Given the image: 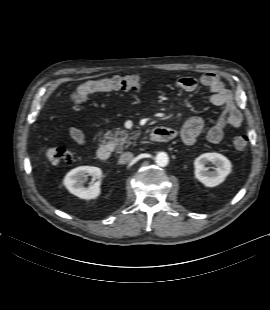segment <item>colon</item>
Instances as JSON below:
<instances>
[{"instance_id":"1","label":"colon","mask_w":270,"mask_h":310,"mask_svg":"<svg viewBox=\"0 0 270 310\" xmlns=\"http://www.w3.org/2000/svg\"><path fill=\"white\" fill-rule=\"evenodd\" d=\"M141 79L137 75L116 76L100 81H89L81 84L71 95L70 101L74 107L81 105L88 96L95 91L131 90L139 86ZM249 138L247 135H237L233 139V146L237 150L247 148ZM47 159L54 165H60L71 160V154L63 147H52L46 152Z\"/></svg>"}]
</instances>
